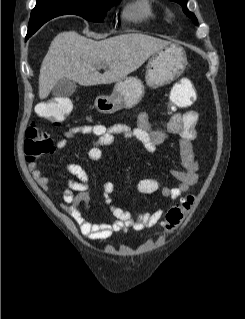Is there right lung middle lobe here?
Masks as SVG:
<instances>
[{
  "label": "right lung middle lobe",
  "mask_w": 245,
  "mask_h": 319,
  "mask_svg": "<svg viewBox=\"0 0 245 319\" xmlns=\"http://www.w3.org/2000/svg\"><path fill=\"white\" fill-rule=\"evenodd\" d=\"M120 0H69L59 2L63 9L62 15L75 14L86 20L100 22L105 18L107 11ZM58 4V3H57ZM30 23L36 24L35 18Z\"/></svg>",
  "instance_id": "dd1d6c3e"
}]
</instances>
